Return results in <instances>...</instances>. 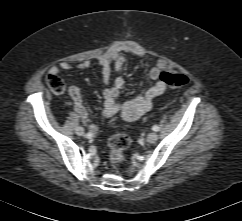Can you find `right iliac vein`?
Here are the masks:
<instances>
[{
    "label": "right iliac vein",
    "instance_id": "63e3f726",
    "mask_svg": "<svg viewBox=\"0 0 242 221\" xmlns=\"http://www.w3.org/2000/svg\"><path fill=\"white\" fill-rule=\"evenodd\" d=\"M76 134L79 136H83L84 135V129L82 127H77L76 128Z\"/></svg>",
    "mask_w": 242,
    "mask_h": 221
}]
</instances>
